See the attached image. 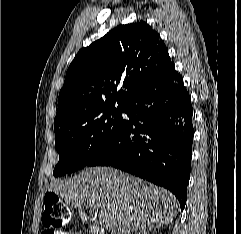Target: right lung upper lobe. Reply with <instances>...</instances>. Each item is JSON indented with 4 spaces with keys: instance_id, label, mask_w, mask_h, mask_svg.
I'll return each mask as SVG.
<instances>
[{
    "instance_id": "cb5924a9",
    "label": "right lung upper lobe",
    "mask_w": 241,
    "mask_h": 234,
    "mask_svg": "<svg viewBox=\"0 0 241 234\" xmlns=\"http://www.w3.org/2000/svg\"><path fill=\"white\" fill-rule=\"evenodd\" d=\"M172 63L166 45L146 22L112 29L81 49L70 64L59 93L54 131L100 106L127 104Z\"/></svg>"
}]
</instances>
